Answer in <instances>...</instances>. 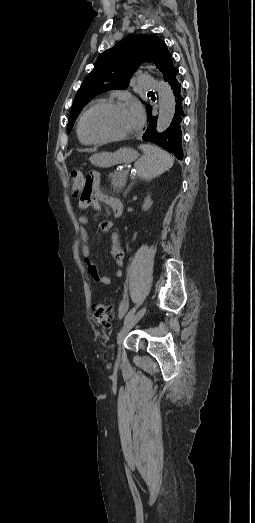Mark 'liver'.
Returning a JSON list of instances; mask_svg holds the SVG:
<instances>
[{
    "label": "liver",
    "mask_w": 255,
    "mask_h": 523,
    "mask_svg": "<svg viewBox=\"0 0 255 523\" xmlns=\"http://www.w3.org/2000/svg\"><path fill=\"white\" fill-rule=\"evenodd\" d=\"M114 154H107V152H103V154H94V156H91L90 162L91 164H94V166H102L103 162H106L108 158H113Z\"/></svg>",
    "instance_id": "obj_1"
}]
</instances>
